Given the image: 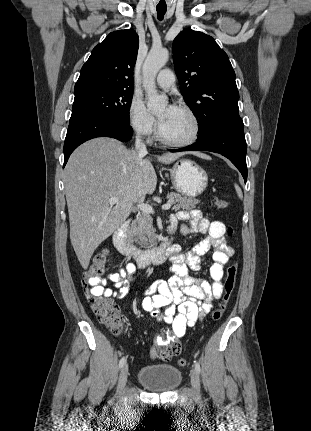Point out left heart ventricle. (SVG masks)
Masks as SVG:
<instances>
[{"label":"left heart ventricle","instance_id":"left-heart-ventricle-1","mask_svg":"<svg viewBox=\"0 0 311 431\" xmlns=\"http://www.w3.org/2000/svg\"><path fill=\"white\" fill-rule=\"evenodd\" d=\"M166 111L167 108H163L158 112L164 137L175 141L189 140L195 133L193 118L178 108L168 116Z\"/></svg>","mask_w":311,"mask_h":431}]
</instances>
